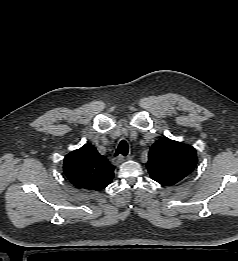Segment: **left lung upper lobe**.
Masks as SVG:
<instances>
[{
    "instance_id": "1",
    "label": "left lung upper lobe",
    "mask_w": 238,
    "mask_h": 261,
    "mask_svg": "<svg viewBox=\"0 0 238 261\" xmlns=\"http://www.w3.org/2000/svg\"><path fill=\"white\" fill-rule=\"evenodd\" d=\"M197 164L195 149L163 137L150 148L147 169L151 178L162 185H173L189 175Z\"/></svg>"
}]
</instances>
